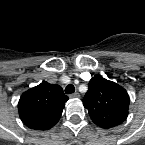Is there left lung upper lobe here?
Segmentation results:
<instances>
[{"instance_id": "5c2ea615", "label": "left lung upper lobe", "mask_w": 145, "mask_h": 145, "mask_svg": "<svg viewBox=\"0 0 145 145\" xmlns=\"http://www.w3.org/2000/svg\"><path fill=\"white\" fill-rule=\"evenodd\" d=\"M88 86L83 105L97 126L109 129L126 120L130 99L123 87L100 75L94 76Z\"/></svg>"}]
</instances>
